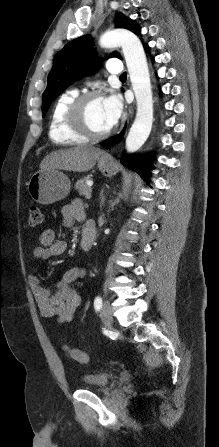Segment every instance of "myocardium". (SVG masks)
Listing matches in <instances>:
<instances>
[{
	"label": "myocardium",
	"mask_w": 219,
	"mask_h": 447,
	"mask_svg": "<svg viewBox=\"0 0 219 447\" xmlns=\"http://www.w3.org/2000/svg\"><path fill=\"white\" fill-rule=\"evenodd\" d=\"M102 99L99 92H85L77 95L69 104L66 111V121L69 127L77 134L90 139L98 140L109 136L112 128L104 131L93 129L87 120L88 106L95 100Z\"/></svg>",
	"instance_id": "myocardium-1"
}]
</instances>
